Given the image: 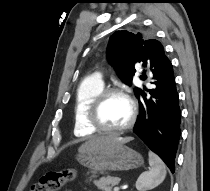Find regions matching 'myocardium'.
Segmentation results:
<instances>
[{"mask_svg": "<svg viewBox=\"0 0 210 191\" xmlns=\"http://www.w3.org/2000/svg\"><path fill=\"white\" fill-rule=\"evenodd\" d=\"M111 95H121L123 96L130 105L131 113L128 122L118 128H108L106 127L100 119V110L105 102V100ZM137 118V104L135 100L123 89L119 87H109L104 88L100 93H98L92 100L88 112H87V122L95 130L108 133V134H119L125 132L133 127Z\"/></svg>", "mask_w": 210, "mask_h": 191, "instance_id": "obj_1", "label": "myocardium"}]
</instances>
